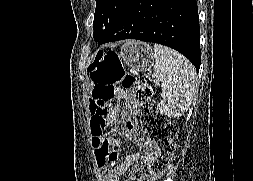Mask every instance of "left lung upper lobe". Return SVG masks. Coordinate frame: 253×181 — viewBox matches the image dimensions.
<instances>
[{
    "mask_svg": "<svg viewBox=\"0 0 253 181\" xmlns=\"http://www.w3.org/2000/svg\"><path fill=\"white\" fill-rule=\"evenodd\" d=\"M131 0H96L94 40L98 41L116 23Z\"/></svg>",
    "mask_w": 253,
    "mask_h": 181,
    "instance_id": "5c2ea615",
    "label": "left lung upper lobe"
}]
</instances>
